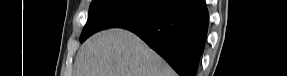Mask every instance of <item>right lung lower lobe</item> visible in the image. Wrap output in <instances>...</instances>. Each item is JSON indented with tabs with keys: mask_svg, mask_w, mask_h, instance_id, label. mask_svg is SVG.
Here are the masks:
<instances>
[{
	"mask_svg": "<svg viewBox=\"0 0 287 76\" xmlns=\"http://www.w3.org/2000/svg\"><path fill=\"white\" fill-rule=\"evenodd\" d=\"M207 28L205 0H169L152 19L127 29L160 54L179 76H195Z\"/></svg>",
	"mask_w": 287,
	"mask_h": 76,
	"instance_id": "obj_1",
	"label": "right lung lower lobe"
}]
</instances>
